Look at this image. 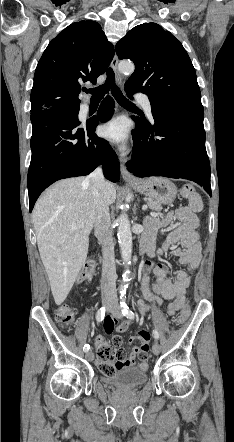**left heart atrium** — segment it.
I'll use <instances>...</instances> for the list:
<instances>
[{
  "label": "left heart atrium",
  "instance_id": "39dd6f15",
  "mask_svg": "<svg viewBox=\"0 0 234 442\" xmlns=\"http://www.w3.org/2000/svg\"><path fill=\"white\" fill-rule=\"evenodd\" d=\"M101 134L112 143L123 145L128 137L126 122L121 118L111 119L103 124Z\"/></svg>",
  "mask_w": 234,
  "mask_h": 442
}]
</instances>
